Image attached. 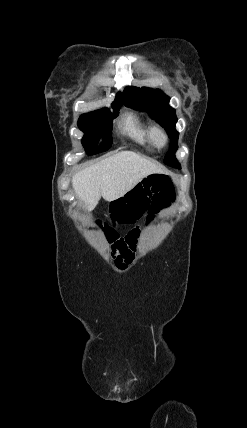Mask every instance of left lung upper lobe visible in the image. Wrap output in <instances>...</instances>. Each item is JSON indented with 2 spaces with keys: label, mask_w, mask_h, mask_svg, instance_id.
<instances>
[{
  "label": "left lung upper lobe",
  "mask_w": 247,
  "mask_h": 428,
  "mask_svg": "<svg viewBox=\"0 0 247 428\" xmlns=\"http://www.w3.org/2000/svg\"><path fill=\"white\" fill-rule=\"evenodd\" d=\"M124 104L139 111H147L149 116L163 126L170 138V149L165 156L164 163L180 168L174 153L178 145L179 133L175 129L177 117L175 110L168 105L170 98L161 90L147 87H126L124 90Z\"/></svg>",
  "instance_id": "5c2ea615"
}]
</instances>
